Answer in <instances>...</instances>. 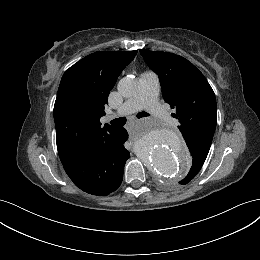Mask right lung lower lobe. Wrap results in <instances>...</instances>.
Masks as SVG:
<instances>
[{"label": "right lung lower lobe", "mask_w": 260, "mask_h": 260, "mask_svg": "<svg viewBox=\"0 0 260 260\" xmlns=\"http://www.w3.org/2000/svg\"><path fill=\"white\" fill-rule=\"evenodd\" d=\"M127 139L126 129H117L63 164L67 175L78 188L92 195H108L117 190L130 157L124 147Z\"/></svg>", "instance_id": "1"}]
</instances>
